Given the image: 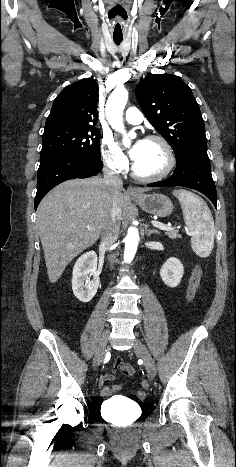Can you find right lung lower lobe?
Listing matches in <instances>:
<instances>
[{"mask_svg": "<svg viewBox=\"0 0 236 467\" xmlns=\"http://www.w3.org/2000/svg\"><path fill=\"white\" fill-rule=\"evenodd\" d=\"M40 159L35 209L42 198L56 185L69 179L88 178L97 174L103 167L101 160L69 152L55 153Z\"/></svg>", "mask_w": 236, "mask_h": 467, "instance_id": "right-lung-lower-lobe-1", "label": "right lung lower lobe"}]
</instances>
